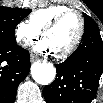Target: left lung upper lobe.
<instances>
[{"instance_id": "obj_1", "label": "left lung upper lobe", "mask_w": 103, "mask_h": 103, "mask_svg": "<svg viewBox=\"0 0 103 103\" xmlns=\"http://www.w3.org/2000/svg\"><path fill=\"white\" fill-rule=\"evenodd\" d=\"M83 16H84V21H85V23H84V31L87 30V29H91V28L97 27L96 22L91 17H89L85 13L83 14Z\"/></svg>"}]
</instances>
